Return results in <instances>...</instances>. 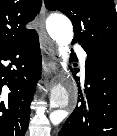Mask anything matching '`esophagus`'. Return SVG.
<instances>
[{
  "mask_svg": "<svg viewBox=\"0 0 117 136\" xmlns=\"http://www.w3.org/2000/svg\"><path fill=\"white\" fill-rule=\"evenodd\" d=\"M39 41L43 55V72L44 77L52 76L57 72V62L55 56V47L45 30V6L41 7L39 13Z\"/></svg>",
  "mask_w": 117,
  "mask_h": 136,
  "instance_id": "1",
  "label": "esophagus"
}]
</instances>
